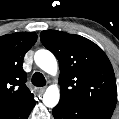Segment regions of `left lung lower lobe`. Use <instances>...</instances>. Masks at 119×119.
Wrapping results in <instances>:
<instances>
[{"mask_svg": "<svg viewBox=\"0 0 119 119\" xmlns=\"http://www.w3.org/2000/svg\"><path fill=\"white\" fill-rule=\"evenodd\" d=\"M52 113L55 119H110L113 112L81 109L72 103L60 101Z\"/></svg>", "mask_w": 119, "mask_h": 119, "instance_id": "1", "label": "left lung lower lobe"}]
</instances>
